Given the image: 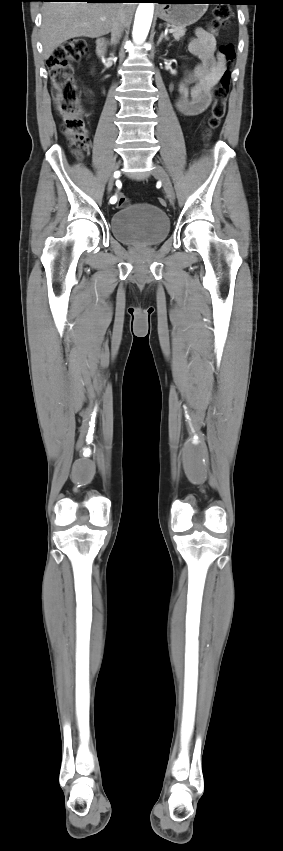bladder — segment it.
I'll return each instance as SVG.
<instances>
[{
  "label": "bladder",
  "instance_id": "obj_1",
  "mask_svg": "<svg viewBox=\"0 0 283 851\" xmlns=\"http://www.w3.org/2000/svg\"><path fill=\"white\" fill-rule=\"evenodd\" d=\"M110 227L112 235L122 243L150 246L167 237L170 221L161 208L149 203H135L114 212Z\"/></svg>",
  "mask_w": 283,
  "mask_h": 851
}]
</instances>
